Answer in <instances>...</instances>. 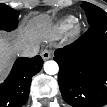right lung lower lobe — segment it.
Returning a JSON list of instances; mask_svg holds the SVG:
<instances>
[{"instance_id":"1","label":"right lung lower lobe","mask_w":107,"mask_h":107,"mask_svg":"<svg viewBox=\"0 0 107 107\" xmlns=\"http://www.w3.org/2000/svg\"><path fill=\"white\" fill-rule=\"evenodd\" d=\"M42 65L43 60L40 56L18 58L10 75L0 85V106L24 105L28 100L32 77L41 70Z\"/></svg>"}]
</instances>
